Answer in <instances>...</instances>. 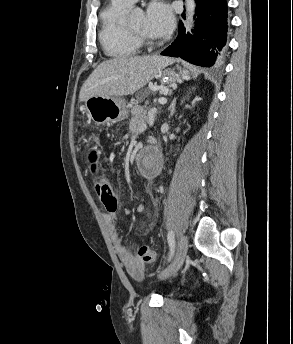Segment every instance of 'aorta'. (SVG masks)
<instances>
[{
  "mask_svg": "<svg viewBox=\"0 0 293 344\" xmlns=\"http://www.w3.org/2000/svg\"><path fill=\"white\" fill-rule=\"evenodd\" d=\"M185 7L187 12V19L189 24L192 26L194 24V13L196 8L195 0H185ZM148 165V157H144L141 161V168L146 169Z\"/></svg>",
  "mask_w": 293,
  "mask_h": 344,
  "instance_id": "1",
  "label": "aorta"
}]
</instances>
